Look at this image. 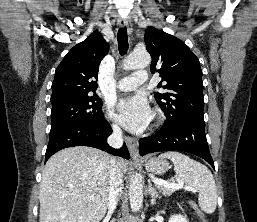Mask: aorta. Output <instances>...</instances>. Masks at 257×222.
<instances>
[{"mask_svg": "<svg viewBox=\"0 0 257 222\" xmlns=\"http://www.w3.org/2000/svg\"><path fill=\"white\" fill-rule=\"evenodd\" d=\"M150 63L151 57L147 51H134L126 58L122 66L125 70L142 69ZM129 200L132 211H139L143 203V184L142 176L138 173H135L130 179Z\"/></svg>", "mask_w": 257, "mask_h": 222, "instance_id": "aorta-1", "label": "aorta"}]
</instances>
